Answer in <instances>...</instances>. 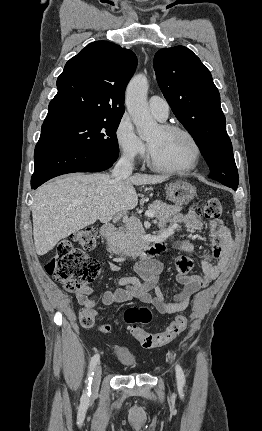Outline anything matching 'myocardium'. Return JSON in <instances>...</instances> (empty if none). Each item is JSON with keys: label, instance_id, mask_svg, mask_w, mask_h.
I'll list each match as a JSON object with an SVG mask.
<instances>
[{"label": "myocardium", "instance_id": "f54148a6", "mask_svg": "<svg viewBox=\"0 0 262 431\" xmlns=\"http://www.w3.org/2000/svg\"><path fill=\"white\" fill-rule=\"evenodd\" d=\"M159 127L164 132H179L184 134L190 140L193 146V157L190 164L185 167L173 168V167L163 166V165H160L154 159L150 145H148V165L154 170L167 173V174H188L193 170H195L202 157L201 147L195 135L186 127L178 124L164 123V124H161Z\"/></svg>", "mask_w": 262, "mask_h": 431}]
</instances>
